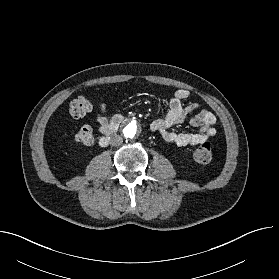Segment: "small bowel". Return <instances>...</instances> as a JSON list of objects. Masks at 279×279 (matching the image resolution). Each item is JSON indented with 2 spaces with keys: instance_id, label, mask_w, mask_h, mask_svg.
I'll use <instances>...</instances> for the list:
<instances>
[{
  "instance_id": "obj_1",
  "label": "small bowel",
  "mask_w": 279,
  "mask_h": 279,
  "mask_svg": "<svg viewBox=\"0 0 279 279\" xmlns=\"http://www.w3.org/2000/svg\"><path fill=\"white\" fill-rule=\"evenodd\" d=\"M189 96L190 92L186 89L176 90L169 100L165 116L151 123L152 131L158 133L166 143L180 147L195 146L207 142L217 133L214 127L216 117L211 111L201 108L197 103H190L183 107V101ZM197 109L200 111L191 118L190 123L192 126L201 127L198 133H176L171 130L174 125L181 123L188 113ZM94 119L98 124L99 131L104 135L113 120H109L106 116L105 103L99 104V111L95 114Z\"/></svg>"
}]
</instances>
